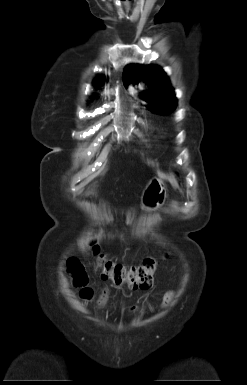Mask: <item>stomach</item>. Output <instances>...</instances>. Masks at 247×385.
<instances>
[{
    "label": "stomach",
    "mask_w": 247,
    "mask_h": 385,
    "mask_svg": "<svg viewBox=\"0 0 247 385\" xmlns=\"http://www.w3.org/2000/svg\"><path fill=\"white\" fill-rule=\"evenodd\" d=\"M167 198L165 184L159 179L151 180L143 191L141 202L145 210H155L164 204Z\"/></svg>",
    "instance_id": "1"
}]
</instances>
